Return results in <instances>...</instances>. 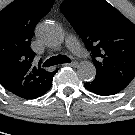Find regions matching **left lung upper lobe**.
<instances>
[{
    "label": "left lung upper lobe",
    "mask_w": 135,
    "mask_h": 135,
    "mask_svg": "<svg viewBox=\"0 0 135 135\" xmlns=\"http://www.w3.org/2000/svg\"><path fill=\"white\" fill-rule=\"evenodd\" d=\"M60 9L91 51L95 80L126 88L135 77V25L105 0H64Z\"/></svg>",
    "instance_id": "left-lung-upper-lobe-1"
}]
</instances>
